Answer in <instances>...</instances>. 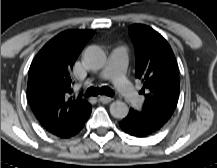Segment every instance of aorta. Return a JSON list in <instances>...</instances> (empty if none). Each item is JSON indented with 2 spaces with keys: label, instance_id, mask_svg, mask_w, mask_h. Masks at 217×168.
Instances as JSON below:
<instances>
[{
  "label": "aorta",
  "instance_id": "762f6f07",
  "mask_svg": "<svg viewBox=\"0 0 217 168\" xmlns=\"http://www.w3.org/2000/svg\"><path fill=\"white\" fill-rule=\"evenodd\" d=\"M85 64L93 70H99L106 64V54L98 46L88 47L83 56ZM129 108L126 103L122 101H114L110 104V113L114 118L123 119L128 115Z\"/></svg>",
  "mask_w": 217,
  "mask_h": 168
}]
</instances>
